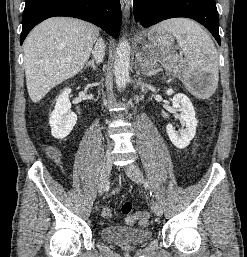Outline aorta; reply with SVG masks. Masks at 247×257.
<instances>
[{"instance_id":"aorta-1","label":"aorta","mask_w":247,"mask_h":257,"mask_svg":"<svg viewBox=\"0 0 247 257\" xmlns=\"http://www.w3.org/2000/svg\"><path fill=\"white\" fill-rule=\"evenodd\" d=\"M130 44L127 39L119 42L114 62V74L118 89H125L129 82Z\"/></svg>"}]
</instances>
